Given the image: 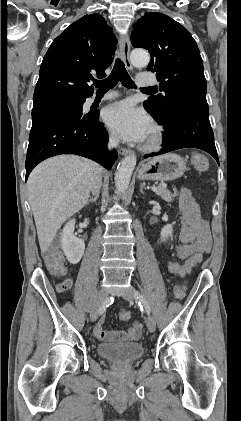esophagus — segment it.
I'll return each mask as SVG.
<instances>
[{"label": "esophagus", "mask_w": 241, "mask_h": 421, "mask_svg": "<svg viewBox=\"0 0 241 421\" xmlns=\"http://www.w3.org/2000/svg\"><path fill=\"white\" fill-rule=\"evenodd\" d=\"M119 48H120V54L121 58L125 63V66L128 70H132V64L130 62V39L127 34L119 35ZM132 151L127 148H121L120 154L121 155H128L131 154Z\"/></svg>", "instance_id": "34e87169"}]
</instances>
